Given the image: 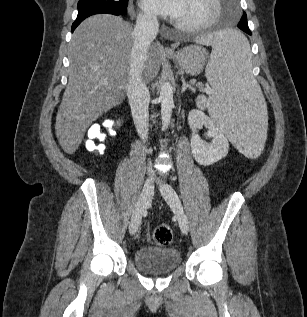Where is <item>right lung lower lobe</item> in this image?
Segmentation results:
<instances>
[{
    "instance_id": "98d812e1",
    "label": "right lung lower lobe",
    "mask_w": 307,
    "mask_h": 317,
    "mask_svg": "<svg viewBox=\"0 0 307 317\" xmlns=\"http://www.w3.org/2000/svg\"><path fill=\"white\" fill-rule=\"evenodd\" d=\"M127 13V9L123 11H113L105 8H88L84 10L78 11L77 19L72 24V32L75 30V28L87 17L95 14H113L117 16H124Z\"/></svg>"
}]
</instances>
